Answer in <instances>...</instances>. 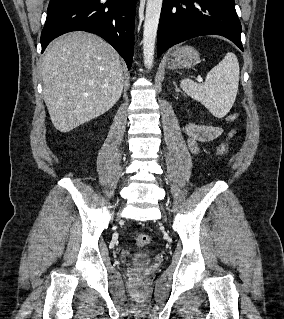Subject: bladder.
Here are the masks:
<instances>
[{"label":"bladder","mask_w":284,"mask_h":319,"mask_svg":"<svg viewBox=\"0 0 284 319\" xmlns=\"http://www.w3.org/2000/svg\"><path fill=\"white\" fill-rule=\"evenodd\" d=\"M151 261V256L146 252H140L132 258V262L137 266H145Z\"/></svg>","instance_id":"31cf9c89"}]
</instances>
